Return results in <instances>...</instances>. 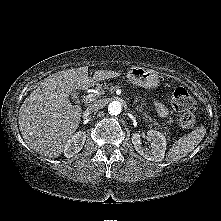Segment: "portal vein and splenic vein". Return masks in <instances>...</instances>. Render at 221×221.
Masks as SVG:
<instances>
[{
    "label": "portal vein and splenic vein",
    "instance_id": "portal-vein-and-splenic-vein-1",
    "mask_svg": "<svg viewBox=\"0 0 221 221\" xmlns=\"http://www.w3.org/2000/svg\"><path fill=\"white\" fill-rule=\"evenodd\" d=\"M97 95H100V92H94V93H90V94H88L86 97H85V101H88V102H91V101H93L94 99H95V97L97 96Z\"/></svg>",
    "mask_w": 221,
    "mask_h": 221
}]
</instances>
